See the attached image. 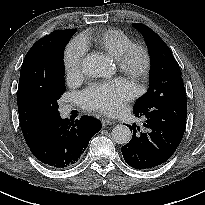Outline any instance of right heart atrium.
I'll return each mask as SVG.
<instances>
[{
    "mask_svg": "<svg viewBox=\"0 0 205 205\" xmlns=\"http://www.w3.org/2000/svg\"><path fill=\"white\" fill-rule=\"evenodd\" d=\"M85 54L86 46L80 38H74L68 43L63 56L68 77L77 78L80 76Z\"/></svg>",
    "mask_w": 205,
    "mask_h": 205,
    "instance_id": "d8ad5b80",
    "label": "right heart atrium"
}]
</instances>
